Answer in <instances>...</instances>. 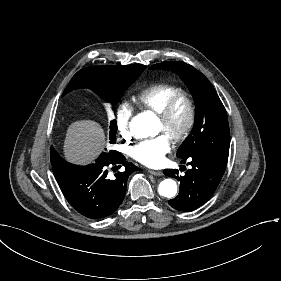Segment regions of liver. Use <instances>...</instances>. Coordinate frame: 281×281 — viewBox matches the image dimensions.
I'll list each match as a JSON object with an SVG mask.
<instances>
[{
	"instance_id": "1",
	"label": "liver",
	"mask_w": 281,
	"mask_h": 281,
	"mask_svg": "<svg viewBox=\"0 0 281 281\" xmlns=\"http://www.w3.org/2000/svg\"><path fill=\"white\" fill-rule=\"evenodd\" d=\"M105 133L99 123L81 120L72 123L64 142L65 158L75 164H88L104 150Z\"/></svg>"
}]
</instances>
